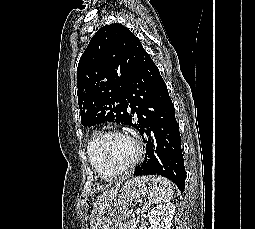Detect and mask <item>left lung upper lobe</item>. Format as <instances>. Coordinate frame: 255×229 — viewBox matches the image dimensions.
<instances>
[{
  "instance_id": "left-lung-upper-lobe-1",
  "label": "left lung upper lobe",
  "mask_w": 255,
  "mask_h": 229,
  "mask_svg": "<svg viewBox=\"0 0 255 229\" xmlns=\"http://www.w3.org/2000/svg\"><path fill=\"white\" fill-rule=\"evenodd\" d=\"M144 51L139 39L121 24L101 27L91 38L77 68L81 123L127 125L123 93Z\"/></svg>"
}]
</instances>
